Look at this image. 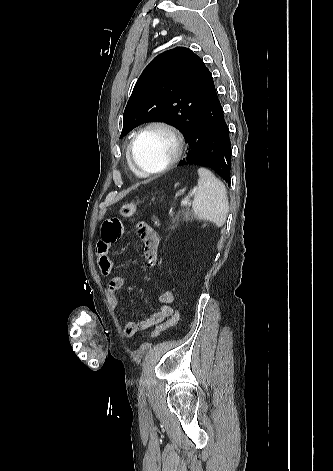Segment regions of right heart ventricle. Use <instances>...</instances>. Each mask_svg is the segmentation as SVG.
<instances>
[{"mask_svg":"<svg viewBox=\"0 0 333 471\" xmlns=\"http://www.w3.org/2000/svg\"><path fill=\"white\" fill-rule=\"evenodd\" d=\"M132 169H133V168H132ZM133 171H134V173H135L136 175L142 176L141 174H139V173H138L137 171H135L134 169H133Z\"/></svg>","mask_w":333,"mask_h":471,"instance_id":"obj_1","label":"right heart ventricle"}]
</instances>
